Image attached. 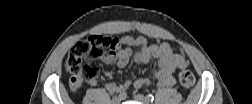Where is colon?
<instances>
[{
	"instance_id": "1",
	"label": "colon",
	"mask_w": 252,
	"mask_h": 104,
	"mask_svg": "<svg viewBox=\"0 0 252 104\" xmlns=\"http://www.w3.org/2000/svg\"><path fill=\"white\" fill-rule=\"evenodd\" d=\"M119 45L117 39L102 35H93L78 41L69 51L65 61V69L70 74V86L76 89L83 81L95 76L96 70L93 66L84 63L85 58L104 59L114 54ZM180 84L190 89L195 83L194 74L182 69L178 74Z\"/></svg>"
}]
</instances>
